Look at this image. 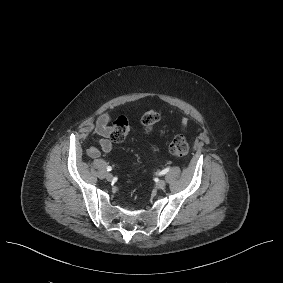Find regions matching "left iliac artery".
<instances>
[{
  "instance_id": "obj_1",
  "label": "left iliac artery",
  "mask_w": 283,
  "mask_h": 283,
  "mask_svg": "<svg viewBox=\"0 0 283 283\" xmlns=\"http://www.w3.org/2000/svg\"><path fill=\"white\" fill-rule=\"evenodd\" d=\"M170 167L165 168L164 170H162L161 172H159V175H165L167 172H169Z\"/></svg>"
}]
</instances>
